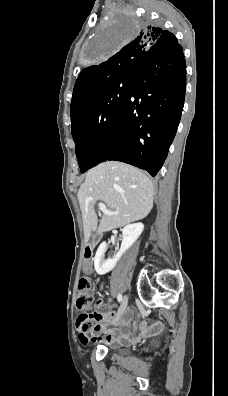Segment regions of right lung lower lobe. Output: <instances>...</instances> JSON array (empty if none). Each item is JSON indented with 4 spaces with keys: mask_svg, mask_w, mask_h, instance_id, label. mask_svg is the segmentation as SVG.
Listing matches in <instances>:
<instances>
[{
    "mask_svg": "<svg viewBox=\"0 0 228 396\" xmlns=\"http://www.w3.org/2000/svg\"><path fill=\"white\" fill-rule=\"evenodd\" d=\"M185 89L186 65L181 45L147 54L132 75L130 90L101 162L122 161L156 176L175 137Z\"/></svg>",
    "mask_w": 228,
    "mask_h": 396,
    "instance_id": "98d812e1",
    "label": "right lung lower lobe"
}]
</instances>
